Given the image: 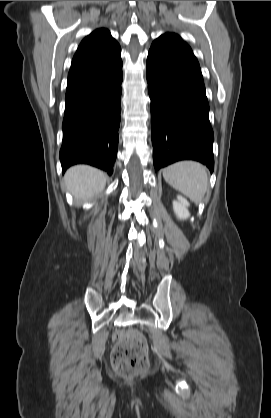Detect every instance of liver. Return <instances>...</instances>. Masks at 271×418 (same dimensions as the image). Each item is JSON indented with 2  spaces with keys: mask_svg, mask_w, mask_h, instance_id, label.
I'll use <instances>...</instances> for the list:
<instances>
[{
  "mask_svg": "<svg viewBox=\"0 0 271 418\" xmlns=\"http://www.w3.org/2000/svg\"><path fill=\"white\" fill-rule=\"evenodd\" d=\"M106 175L101 170L87 166L76 165L67 170L64 176L65 185L75 199L89 200L103 191L106 185Z\"/></svg>",
  "mask_w": 271,
  "mask_h": 418,
  "instance_id": "1",
  "label": "liver"
}]
</instances>
